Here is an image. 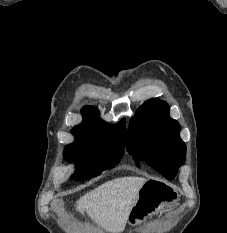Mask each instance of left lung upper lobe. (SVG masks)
<instances>
[{"mask_svg":"<svg viewBox=\"0 0 227 233\" xmlns=\"http://www.w3.org/2000/svg\"><path fill=\"white\" fill-rule=\"evenodd\" d=\"M179 132L180 125L170 118L168 104L150 99L130 121L127 151L137 164L145 160L171 180L186 158V145Z\"/></svg>","mask_w":227,"mask_h":233,"instance_id":"1","label":"left lung upper lobe"}]
</instances>
